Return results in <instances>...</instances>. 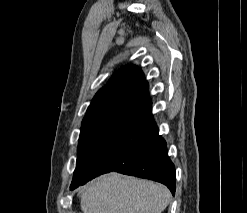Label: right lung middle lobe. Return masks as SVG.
<instances>
[{
    "label": "right lung middle lobe",
    "instance_id": "right-lung-middle-lobe-1",
    "mask_svg": "<svg viewBox=\"0 0 247 213\" xmlns=\"http://www.w3.org/2000/svg\"><path fill=\"white\" fill-rule=\"evenodd\" d=\"M131 108L112 109L82 124L71 190L96 176L98 161L116 141Z\"/></svg>",
    "mask_w": 247,
    "mask_h": 213
}]
</instances>
